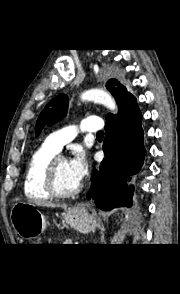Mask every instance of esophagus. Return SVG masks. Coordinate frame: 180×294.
<instances>
[{
    "label": "esophagus",
    "mask_w": 180,
    "mask_h": 294,
    "mask_svg": "<svg viewBox=\"0 0 180 294\" xmlns=\"http://www.w3.org/2000/svg\"><path fill=\"white\" fill-rule=\"evenodd\" d=\"M84 211H86L84 204H78L77 206L74 207V212L82 213Z\"/></svg>",
    "instance_id": "34e87169"
}]
</instances>
